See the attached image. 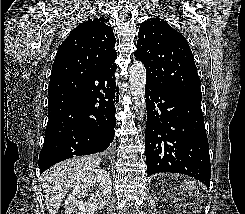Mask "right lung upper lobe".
Masks as SVG:
<instances>
[{"mask_svg":"<svg viewBox=\"0 0 245 214\" xmlns=\"http://www.w3.org/2000/svg\"><path fill=\"white\" fill-rule=\"evenodd\" d=\"M115 42L113 30L103 17L79 24L57 51L48 95L79 97L91 87L97 72L115 71Z\"/></svg>","mask_w":245,"mask_h":214,"instance_id":"1","label":"right lung upper lobe"}]
</instances>
